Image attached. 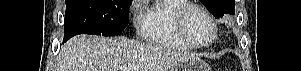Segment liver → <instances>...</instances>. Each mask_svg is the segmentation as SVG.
<instances>
[{
    "label": "liver",
    "instance_id": "liver-1",
    "mask_svg": "<svg viewBox=\"0 0 301 71\" xmlns=\"http://www.w3.org/2000/svg\"><path fill=\"white\" fill-rule=\"evenodd\" d=\"M188 57L126 38L80 35L62 47L58 71H169Z\"/></svg>",
    "mask_w": 301,
    "mask_h": 71
}]
</instances>
